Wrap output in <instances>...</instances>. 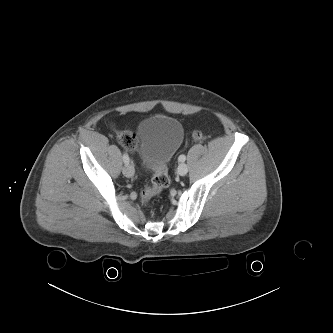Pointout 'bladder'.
Here are the masks:
<instances>
[{"label":"bladder","mask_w":333,"mask_h":333,"mask_svg":"<svg viewBox=\"0 0 333 333\" xmlns=\"http://www.w3.org/2000/svg\"><path fill=\"white\" fill-rule=\"evenodd\" d=\"M137 146L146 170L154 171L172 158L184 139L182 124L166 115L143 120L137 129Z\"/></svg>","instance_id":"1"}]
</instances>
